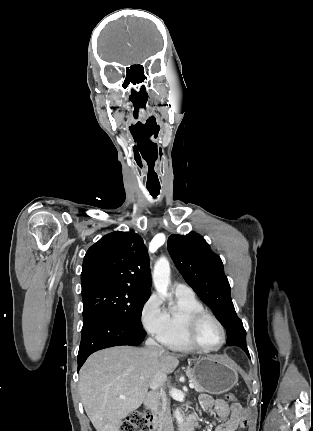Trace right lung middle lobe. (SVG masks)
I'll return each mask as SVG.
<instances>
[{
  "instance_id": "right-lung-middle-lobe-1",
  "label": "right lung middle lobe",
  "mask_w": 313,
  "mask_h": 431,
  "mask_svg": "<svg viewBox=\"0 0 313 431\" xmlns=\"http://www.w3.org/2000/svg\"><path fill=\"white\" fill-rule=\"evenodd\" d=\"M150 294L129 287L100 290L83 298V321L96 314L114 316L123 322L143 330L140 320L142 308Z\"/></svg>"
}]
</instances>
